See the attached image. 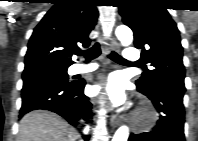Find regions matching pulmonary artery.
I'll return each instance as SVG.
<instances>
[{
	"mask_svg": "<svg viewBox=\"0 0 198 141\" xmlns=\"http://www.w3.org/2000/svg\"><path fill=\"white\" fill-rule=\"evenodd\" d=\"M125 57L127 61L136 64L140 59V54L137 49L133 47H129L125 50ZM96 68V65H83V64H74L70 67L69 73L74 74H81L93 71Z\"/></svg>",
	"mask_w": 198,
	"mask_h": 141,
	"instance_id": "pulmonary-artery-1",
	"label": "pulmonary artery"
}]
</instances>
